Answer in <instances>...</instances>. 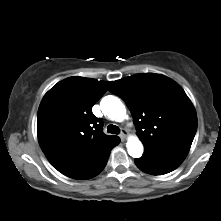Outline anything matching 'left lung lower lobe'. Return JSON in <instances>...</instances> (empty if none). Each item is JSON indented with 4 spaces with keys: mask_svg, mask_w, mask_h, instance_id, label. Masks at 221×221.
I'll return each mask as SVG.
<instances>
[{
    "mask_svg": "<svg viewBox=\"0 0 221 221\" xmlns=\"http://www.w3.org/2000/svg\"><path fill=\"white\" fill-rule=\"evenodd\" d=\"M185 148L167 149L161 151L145 150L141 158L135 159L137 167L152 175H162L176 169L187 156Z\"/></svg>",
    "mask_w": 221,
    "mask_h": 221,
    "instance_id": "obj_1",
    "label": "left lung lower lobe"
}]
</instances>
